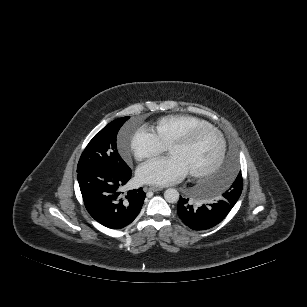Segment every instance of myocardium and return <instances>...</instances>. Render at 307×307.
<instances>
[{
	"label": "myocardium",
	"mask_w": 307,
	"mask_h": 307,
	"mask_svg": "<svg viewBox=\"0 0 307 307\" xmlns=\"http://www.w3.org/2000/svg\"><path fill=\"white\" fill-rule=\"evenodd\" d=\"M206 131H212L219 137V140H220L219 153H218L215 163L211 167L201 170V171L189 172V175L192 177L202 178V177L209 176L215 173L221 167L225 159L226 152H227V142H226L225 136L222 133V131L211 124L206 125V126L195 127L189 130L188 132H185L181 136L177 137L176 139H174L167 147L168 151H170L173 147H176V146H187L191 144L201 133L206 132Z\"/></svg>",
	"instance_id": "obj_1"
}]
</instances>
